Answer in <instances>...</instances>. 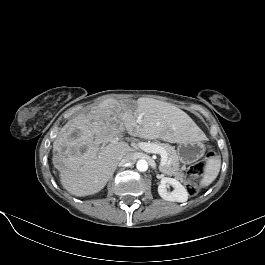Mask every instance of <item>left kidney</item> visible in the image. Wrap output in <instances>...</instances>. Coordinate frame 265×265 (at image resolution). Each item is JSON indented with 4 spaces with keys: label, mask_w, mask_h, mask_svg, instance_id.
I'll list each match as a JSON object with an SVG mask.
<instances>
[{
    "label": "left kidney",
    "mask_w": 265,
    "mask_h": 265,
    "mask_svg": "<svg viewBox=\"0 0 265 265\" xmlns=\"http://www.w3.org/2000/svg\"><path fill=\"white\" fill-rule=\"evenodd\" d=\"M172 186L174 190L169 192L167 186ZM160 197L171 202H186L188 200L187 189L175 178L164 177L158 186Z\"/></svg>",
    "instance_id": "1"
}]
</instances>
